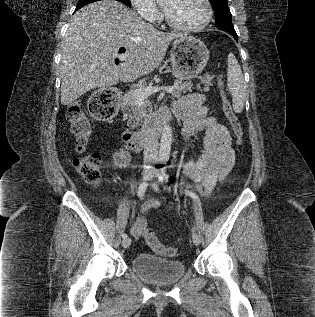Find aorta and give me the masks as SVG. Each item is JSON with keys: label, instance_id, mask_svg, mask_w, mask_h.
<instances>
[{"label": "aorta", "instance_id": "762f6f07", "mask_svg": "<svg viewBox=\"0 0 315 317\" xmlns=\"http://www.w3.org/2000/svg\"><path fill=\"white\" fill-rule=\"evenodd\" d=\"M172 144V128L166 124L162 130L160 149H159V159L162 161H167L170 156Z\"/></svg>", "mask_w": 315, "mask_h": 317}]
</instances>
